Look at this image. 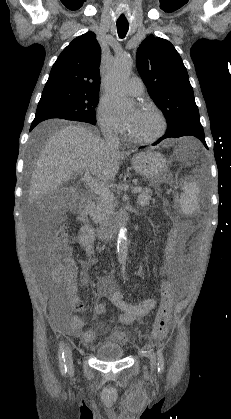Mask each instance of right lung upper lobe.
<instances>
[{
	"mask_svg": "<svg viewBox=\"0 0 231 419\" xmlns=\"http://www.w3.org/2000/svg\"><path fill=\"white\" fill-rule=\"evenodd\" d=\"M101 48L93 32L75 38L54 63L45 87L99 93Z\"/></svg>",
	"mask_w": 231,
	"mask_h": 419,
	"instance_id": "obj_1",
	"label": "right lung upper lobe"
}]
</instances>
